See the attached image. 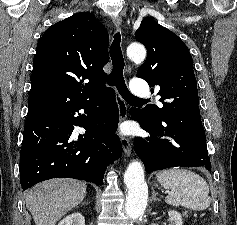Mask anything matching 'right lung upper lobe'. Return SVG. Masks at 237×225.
<instances>
[{
	"label": "right lung upper lobe",
	"instance_id": "1",
	"mask_svg": "<svg viewBox=\"0 0 237 225\" xmlns=\"http://www.w3.org/2000/svg\"><path fill=\"white\" fill-rule=\"evenodd\" d=\"M109 36L90 13L74 14L40 38L33 61L28 113L92 97L106 87ZM84 80H89L83 84Z\"/></svg>",
	"mask_w": 237,
	"mask_h": 225
}]
</instances>
